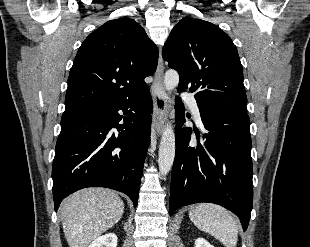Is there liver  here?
<instances>
[{"label": "liver", "instance_id": "6515ba94", "mask_svg": "<svg viewBox=\"0 0 310 247\" xmlns=\"http://www.w3.org/2000/svg\"><path fill=\"white\" fill-rule=\"evenodd\" d=\"M124 203L106 188H85L67 197L61 220L69 247H88L122 217Z\"/></svg>", "mask_w": 310, "mask_h": 247}]
</instances>
